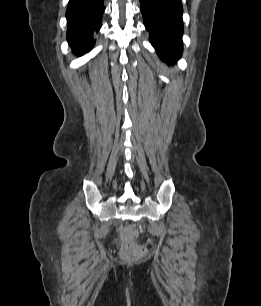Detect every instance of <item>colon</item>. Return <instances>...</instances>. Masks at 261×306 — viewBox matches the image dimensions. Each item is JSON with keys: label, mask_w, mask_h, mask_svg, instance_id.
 <instances>
[{"label": "colon", "mask_w": 261, "mask_h": 306, "mask_svg": "<svg viewBox=\"0 0 261 306\" xmlns=\"http://www.w3.org/2000/svg\"><path fill=\"white\" fill-rule=\"evenodd\" d=\"M120 254L125 259H137L144 255V249L136 242V230L127 226L120 231Z\"/></svg>", "instance_id": "5ec220e1"}]
</instances>
